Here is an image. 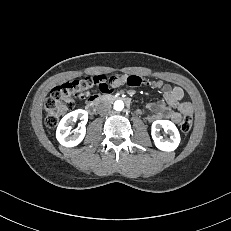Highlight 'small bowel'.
I'll return each instance as SVG.
<instances>
[{"mask_svg":"<svg viewBox=\"0 0 231 231\" xmlns=\"http://www.w3.org/2000/svg\"><path fill=\"white\" fill-rule=\"evenodd\" d=\"M127 85L136 88L158 89L163 95V99L158 102L149 103L146 110L149 112V121H156L162 118H168L174 123H179L182 116L191 115L193 113V105L189 101H183L184 91L179 86H170L163 83L161 80H153L151 82L148 77H139L135 75H112L108 81H105L101 86V93H112L113 90H118L120 86ZM99 92L90 95L84 100L87 104L90 100L98 98Z\"/></svg>","mask_w":231,"mask_h":231,"instance_id":"small-bowel-1","label":"small bowel"}]
</instances>
